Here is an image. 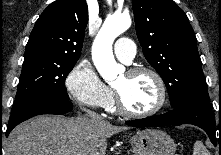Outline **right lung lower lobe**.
Returning <instances> with one entry per match:
<instances>
[{
    "label": "right lung lower lobe",
    "instance_id": "98d812e1",
    "mask_svg": "<svg viewBox=\"0 0 221 155\" xmlns=\"http://www.w3.org/2000/svg\"><path fill=\"white\" fill-rule=\"evenodd\" d=\"M73 108L72 103L66 99H59L52 96H36L27 101L17 111L13 112L7 126L6 136L19 123L40 115V114H57L65 115Z\"/></svg>",
    "mask_w": 221,
    "mask_h": 155
}]
</instances>
